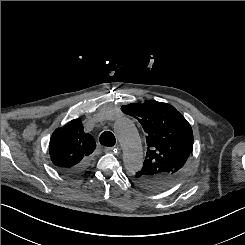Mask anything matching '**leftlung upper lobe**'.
Returning <instances> with one entry per match:
<instances>
[{"mask_svg": "<svg viewBox=\"0 0 245 245\" xmlns=\"http://www.w3.org/2000/svg\"><path fill=\"white\" fill-rule=\"evenodd\" d=\"M121 110L136 118L147 134L143 167L132 176L135 183L154 190L159 181L175 180L193 151L188 121L173 106L152 100L125 105Z\"/></svg>", "mask_w": 245, "mask_h": 245, "instance_id": "left-lung-upper-lobe-1", "label": "left lung upper lobe"}]
</instances>
